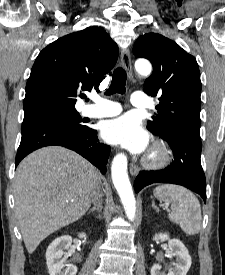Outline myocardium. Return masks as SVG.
Instances as JSON below:
<instances>
[{
  "label": "myocardium",
  "mask_w": 225,
  "mask_h": 275,
  "mask_svg": "<svg viewBox=\"0 0 225 275\" xmlns=\"http://www.w3.org/2000/svg\"><path fill=\"white\" fill-rule=\"evenodd\" d=\"M171 160V151L169 147L161 141L153 144L143 160V165L147 169H160L165 167Z\"/></svg>",
  "instance_id": "obj_1"
}]
</instances>
